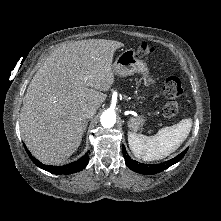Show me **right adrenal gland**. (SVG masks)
<instances>
[{"mask_svg": "<svg viewBox=\"0 0 221 221\" xmlns=\"http://www.w3.org/2000/svg\"><path fill=\"white\" fill-rule=\"evenodd\" d=\"M87 124H88V121H86V123H85V128H84V131L86 130V128H87Z\"/></svg>", "mask_w": 221, "mask_h": 221, "instance_id": "obj_1", "label": "right adrenal gland"}]
</instances>
